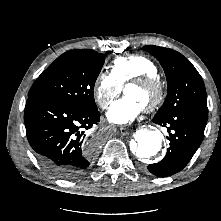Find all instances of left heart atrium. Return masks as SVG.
Returning <instances> with one entry per match:
<instances>
[{
  "mask_svg": "<svg viewBox=\"0 0 221 221\" xmlns=\"http://www.w3.org/2000/svg\"><path fill=\"white\" fill-rule=\"evenodd\" d=\"M143 107L138 100L125 95L110 105L107 111V118L114 124H127L141 113Z\"/></svg>",
  "mask_w": 221,
  "mask_h": 221,
  "instance_id": "1",
  "label": "left heart atrium"
}]
</instances>
